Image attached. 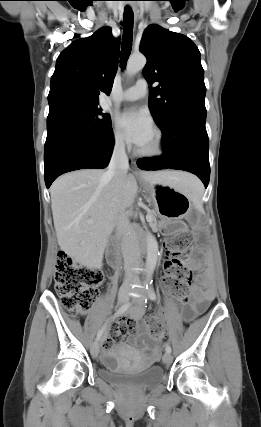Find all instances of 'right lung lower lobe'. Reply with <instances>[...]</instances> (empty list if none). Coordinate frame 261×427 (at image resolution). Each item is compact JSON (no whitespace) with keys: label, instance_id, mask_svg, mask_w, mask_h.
<instances>
[{"label":"right lung lower lobe","instance_id":"obj_1","mask_svg":"<svg viewBox=\"0 0 261 427\" xmlns=\"http://www.w3.org/2000/svg\"><path fill=\"white\" fill-rule=\"evenodd\" d=\"M114 146L112 129L89 134L72 129L47 133L44 149L45 183L49 188L61 174L83 168H105Z\"/></svg>","mask_w":261,"mask_h":427}]
</instances>
